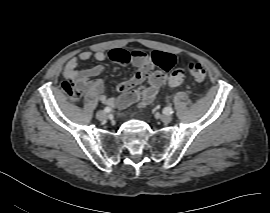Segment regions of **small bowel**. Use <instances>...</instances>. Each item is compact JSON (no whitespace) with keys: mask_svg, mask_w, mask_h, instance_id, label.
<instances>
[{"mask_svg":"<svg viewBox=\"0 0 270 213\" xmlns=\"http://www.w3.org/2000/svg\"><path fill=\"white\" fill-rule=\"evenodd\" d=\"M115 50V49H113ZM111 50V51H113ZM110 51V52H111ZM110 52H105L103 50H97L93 57L99 62H103L110 57ZM164 53V52H160ZM169 54V53H165ZM173 58L172 67L176 63V58L173 54H169ZM92 57V54L89 51L81 52L78 57H72L68 60L65 66V76L69 80L67 86H69L73 92L79 97L91 93H101L103 91V82L100 79H96L102 72L101 66H95L87 70H79L80 62H86ZM130 64L137 68L150 67V59L144 54L140 53L137 56H132L130 59ZM164 68V67H163ZM145 80L147 84L141 87L140 90H136L130 98L122 99L117 101L115 98L102 95L101 101L111 107H115L118 104L122 106H127L130 103L141 100L139 107L142 108L145 105L149 104L156 94L158 93L160 87L164 83L165 75L161 72L155 71L150 73L147 77L142 78L138 73L129 80L124 81L118 87V90L121 92H127L129 90L135 89L140 86Z\"/></svg>","mask_w":270,"mask_h":213,"instance_id":"c3829d8e","label":"small bowel"}]
</instances>
